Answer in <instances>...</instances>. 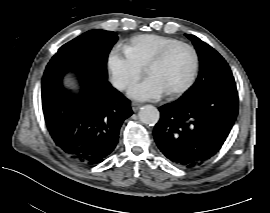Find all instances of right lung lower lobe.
Wrapping results in <instances>:
<instances>
[{
  "label": "right lung lower lobe",
  "instance_id": "obj_1",
  "mask_svg": "<svg viewBox=\"0 0 270 213\" xmlns=\"http://www.w3.org/2000/svg\"><path fill=\"white\" fill-rule=\"evenodd\" d=\"M65 72L44 73L42 108L55 144L75 162L101 163L116 147L123 121L132 115L130 101L107 79L77 73L80 93L62 85Z\"/></svg>",
  "mask_w": 270,
  "mask_h": 213
}]
</instances>
